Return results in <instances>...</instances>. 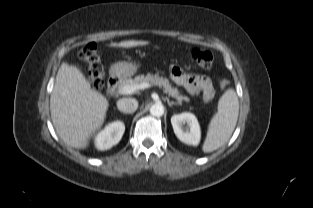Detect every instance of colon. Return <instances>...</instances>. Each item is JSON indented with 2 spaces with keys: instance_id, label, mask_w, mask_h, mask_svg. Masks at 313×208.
<instances>
[{
  "instance_id": "colon-1",
  "label": "colon",
  "mask_w": 313,
  "mask_h": 208,
  "mask_svg": "<svg viewBox=\"0 0 313 208\" xmlns=\"http://www.w3.org/2000/svg\"><path fill=\"white\" fill-rule=\"evenodd\" d=\"M79 57L88 64L89 75L93 86L97 89L104 84V66L95 43H89L84 46ZM192 59L203 69H209L213 63L212 53L205 49L195 48L191 51ZM220 87H225L229 84L227 77H220L218 80Z\"/></svg>"
}]
</instances>
